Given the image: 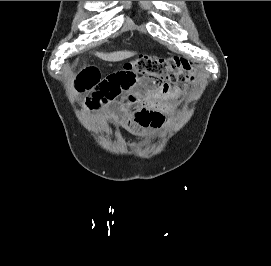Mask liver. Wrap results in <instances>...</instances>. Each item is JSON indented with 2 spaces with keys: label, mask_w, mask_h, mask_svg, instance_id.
<instances>
[{
  "label": "liver",
  "mask_w": 271,
  "mask_h": 266,
  "mask_svg": "<svg viewBox=\"0 0 271 266\" xmlns=\"http://www.w3.org/2000/svg\"><path fill=\"white\" fill-rule=\"evenodd\" d=\"M96 55L105 61L118 62L134 56L135 53L129 51H120L110 54L96 53Z\"/></svg>",
  "instance_id": "obj_1"
}]
</instances>
